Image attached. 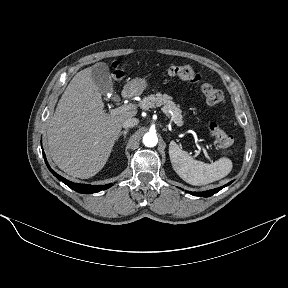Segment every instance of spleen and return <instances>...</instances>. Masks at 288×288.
<instances>
[{"instance_id":"spleen-1","label":"spleen","mask_w":288,"mask_h":288,"mask_svg":"<svg viewBox=\"0 0 288 288\" xmlns=\"http://www.w3.org/2000/svg\"><path fill=\"white\" fill-rule=\"evenodd\" d=\"M169 156L175 172L191 185H206L227 176L232 170V161L223 157L207 164L194 160L174 141L169 144Z\"/></svg>"}]
</instances>
